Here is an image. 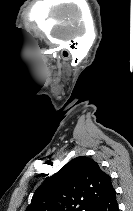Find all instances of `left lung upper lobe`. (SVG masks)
I'll list each match as a JSON object with an SVG mask.
<instances>
[{
	"label": "left lung upper lobe",
	"mask_w": 133,
	"mask_h": 211,
	"mask_svg": "<svg viewBox=\"0 0 133 211\" xmlns=\"http://www.w3.org/2000/svg\"><path fill=\"white\" fill-rule=\"evenodd\" d=\"M112 189L110 176L80 156L37 188L26 211H92Z\"/></svg>",
	"instance_id": "1"
}]
</instances>
